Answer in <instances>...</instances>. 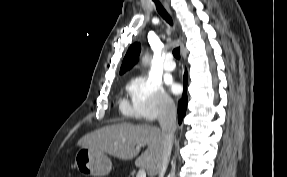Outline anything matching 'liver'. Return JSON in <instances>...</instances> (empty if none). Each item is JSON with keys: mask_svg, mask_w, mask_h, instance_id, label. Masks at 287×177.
Instances as JSON below:
<instances>
[{"mask_svg": "<svg viewBox=\"0 0 287 177\" xmlns=\"http://www.w3.org/2000/svg\"><path fill=\"white\" fill-rule=\"evenodd\" d=\"M78 145L107 153L122 160L135 158L142 146H148L135 161L150 177L158 174L162 162L163 138L161 130L150 125L123 122L105 126L83 136Z\"/></svg>", "mask_w": 287, "mask_h": 177, "instance_id": "6515ba94", "label": "liver"}]
</instances>
